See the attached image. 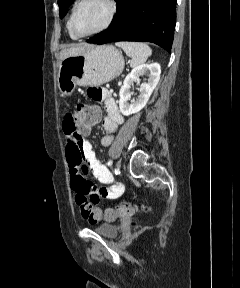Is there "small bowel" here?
Segmentation results:
<instances>
[{"label": "small bowel", "mask_w": 240, "mask_h": 288, "mask_svg": "<svg viewBox=\"0 0 240 288\" xmlns=\"http://www.w3.org/2000/svg\"><path fill=\"white\" fill-rule=\"evenodd\" d=\"M87 94L95 101L103 102L105 116L102 126L108 133L101 140L103 146H109L114 133L123 124L115 99L106 88L91 87ZM63 132L66 139V156L70 171V183L77 194L90 198L117 199L124 192V185L114 179L109 170L96 157L91 143L85 139L89 130L79 131L72 119V113H66L63 123ZM88 171L105 186H98L88 176Z\"/></svg>", "instance_id": "obj_1"}]
</instances>
